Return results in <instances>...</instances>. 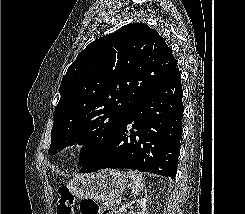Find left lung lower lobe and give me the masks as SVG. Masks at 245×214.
Listing matches in <instances>:
<instances>
[{
	"mask_svg": "<svg viewBox=\"0 0 245 214\" xmlns=\"http://www.w3.org/2000/svg\"><path fill=\"white\" fill-rule=\"evenodd\" d=\"M182 96L177 66L142 100L109 143L87 159L79 173L127 168L174 179L182 134Z\"/></svg>",
	"mask_w": 245,
	"mask_h": 214,
	"instance_id": "0a47b994",
	"label": "left lung lower lobe"
}]
</instances>
